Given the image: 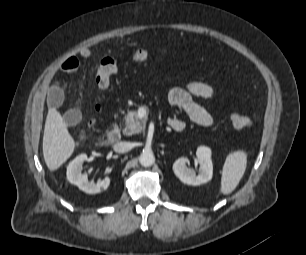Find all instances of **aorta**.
Listing matches in <instances>:
<instances>
[{"instance_id": "obj_1", "label": "aorta", "mask_w": 306, "mask_h": 255, "mask_svg": "<svg viewBox=\"0 0 306 255\" xmlns=\"http://www.w3.org/2000/svg\"><path fill=\"white\" fill-rule=\"evenodd\" d=\"M139 162L143 167H150L155 162L154 154L151 151L145 150L140 154Z\"/></svg>"}]
</instances>
